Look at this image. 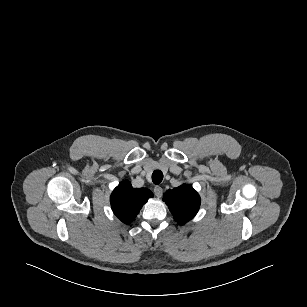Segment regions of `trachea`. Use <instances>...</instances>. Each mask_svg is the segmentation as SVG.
I'll use <instances>...</instances> for the list:
<instances>
[{"mask_svg":"<svg viewBox=\"0 0 307 307\" xmlns=\"http://www.w3.org/2000/svg\"><path fill=\"white\" fill-rule=\"evenodd\" d=\"M163 180V173L160 170H155L152 173V181L154 184H160Z\"/></svg>","mask_w":307,"mask_h":307,"instance_id":"trachea-1","label":"trachea"}]
</instances>
